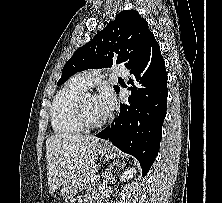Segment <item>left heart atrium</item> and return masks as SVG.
Returning a JSON list of instances; mask_svg holds the SVG:
<instances>
[{
  "label": "left heart atrium",
  "mask_w": 222,
  "mask_h": 203,
  "mask_svg": "<svg viewBox=\"0 0 222 203\" xmlns=\"http://www.w3.org/2000/svg\"><path fill=\"white\" fill-rule=\"evenodd\" d=\"M102 108L110 113L114 107L115 99L110 90H103L98 96H96Z\"/></svg>",
  "instance_id": "left-heart-atrium-1"
}]
</instances>
